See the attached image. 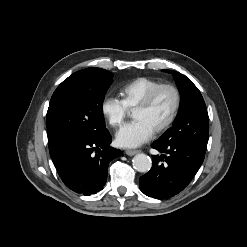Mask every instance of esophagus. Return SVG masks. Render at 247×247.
I'll return each instance as SVG.
<instances>
[{
	"instance_id": "1",
	"label": "esophagus",
	"mask_w": 247,
	"mask_h": 247,
	"mask_svg": "<svg viewBox=\"0 0 247 247\" xmlns=\"http://www.w3.org/2000/svg\"><path fill=\"white\" fill-rule=\"evenodd\" d=\"M139 152H140L139 150H130V149L126 150V154L129 156H133Z\"/></svg>"
}]
</instances>
